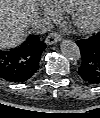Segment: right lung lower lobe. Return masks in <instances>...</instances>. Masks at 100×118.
I'll return each instance as SVG.
<instances>
[{
	"label": "right lung lower lobe",
	"mask_w": 100,
	"mask_h": 118,
	"mask_svg": "<svg viewBox=\"0 0 100 118\" xmlns=\"http://www.w3.org/2000/svg\"><path fill=\"white\" fill-rule=\"evenodd\" d=\"M46 48L38 36L30 35L18 48L0 50V77L9 82H24L33 77L38 68L41 53Z\"/></svg>",
	"instance_id": "right-lung-lower-lobe-1"
}]
</instances>
